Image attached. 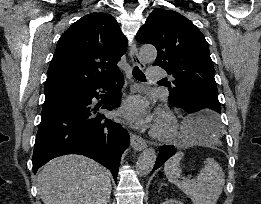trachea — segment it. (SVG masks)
Returning <instances> with one entry per match:
<instances>
[{
    "label": "trachea",
    "instance_id": "obj_1",
    "mask_svg": "<svg viewBox=\"0 0 261 204\" xmlns=\"http://www.w3.org/2000/svg\"><path fill=\"white\" fill-rule=\"evenodd\" d=\"M133 76L139 81H146L144 73L137 66L133 69Z\"/></svg>",
    "mask_w": 261,
    "mask_h": 204
}]
</instances>
